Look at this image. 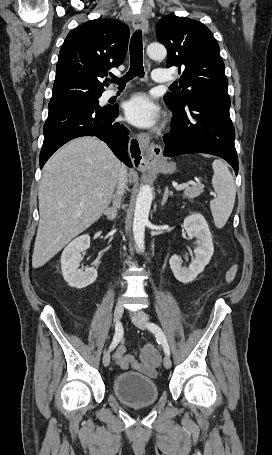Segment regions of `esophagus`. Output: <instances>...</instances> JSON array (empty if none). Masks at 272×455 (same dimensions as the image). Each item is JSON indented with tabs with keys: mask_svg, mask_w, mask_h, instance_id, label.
Here are the masks:
<instances>
[{
	"mask_svg": "<svg viewBox=\"0 0 272 455\" xmlns=\"http://www.w3.org/2000/svg\"><path fill=\"white\" fill-rule=\"evenodd\" d=\"M133 26L135 29H140L143 33H147V17L144 14L136 16ZM130 151L133 165L138 170L145 169L150 164L156 162L162 155L161 146L151 142L149 135L146 133L138 134L136 139L131 141Z\"/></svg>",
	"mask_w": 272,
	"mask_h": 455,
	"instance_id": "1",
	"label": "esophagus"
}]
</instances>
